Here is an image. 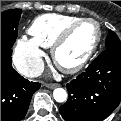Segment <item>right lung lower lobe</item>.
<instances>
[{
	"mask_svg": "<svg viewBox=\"0 0 121 121\" xmlns=\"http://www.w3.org/2000/svg\"><path fill=\"white\" fill-rule=\"evenodd\" d=\"M12 49L1 47V121H20L40 83L29 82L12 67Z\"/></svg>",
	"mask_w": 121,
	"mask_h": 121,
	"instance_id": "obj_1",
	"label": "right lung lower lobe"
}]
</instances>
